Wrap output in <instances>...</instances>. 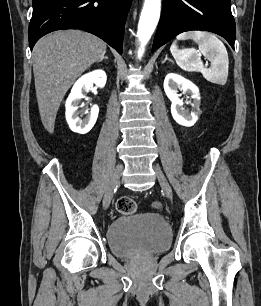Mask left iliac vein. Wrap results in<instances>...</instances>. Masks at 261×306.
<instances>
[{"label":"left iliac vein","mask_w":261,"mask_h":306,"mask_svg":"<svg viewBox=\"0 0 261 306\" xmlns=\"http://www.w3.org/2000/svg\"><path fill=\"white\" fill-rule=\"evenodd\" d=\"M154 170L156 172L158 181H159L163 191L165 192L166 196L169 199H172V196H173L172 189H171L170 184L168 183L166 177L164 176L163 172L161 171L160 167L157 166V165H154Z\"/></svg>","instance_id":"4c4485c4"}]
</instances>
